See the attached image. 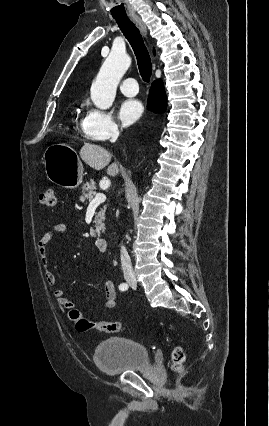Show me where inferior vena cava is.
Instances as JSON below:
<instances>
[{"mask_svg": "<svg viewBox=\"0 0 269 426\" xmlns=\"http://www.w3.org/2000/svg\"><path fill=\"white\" fill-rule=\"evenodd\" d=\"M118 138V133L116 131H114L111 134V142L114 143ZM121 264H122V269L124 272V275H133V269H132V265H131V259L128 255V252L126 250V248L124 246H121Z\"/></svg>", "mask_w": 269, "mask_h": 426, "instance_id": "1", "label": "inferior vena cava"}]
</instances>
